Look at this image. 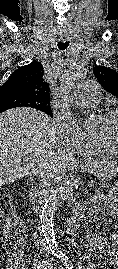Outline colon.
Segmentation results:
<instances>
[{
    "instance_id": "colon-1",
    "label": "colon",
    "mask_w": 118,
    "mask_h": 269,
    "mask_svg": "<svg viewBox=\"0 0 118 269\" xmlns=\"http://www.w3.org/2000/svg\"><path fill=\"white\" fill-rule=\"evenodd\" d=\"M0 221L5 223L2 241L3 249L18 244L21 241L22 226L16 216L9 193L0 189ZM3 251V250H2ZM9 254L6 252V256Z\"/></svg>"
}]
</instances>
